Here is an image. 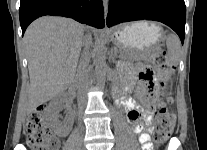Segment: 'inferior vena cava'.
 Segmentation results:
<instances>
[{"mask_svg": "<svg viewBox=\"0 0 207 150\" xmlns=\"http://www.w3.org/2000/svg\"><path fill=\"white\" fill-rule=\"evenodd\" d=\"M91 44V38L87 37L83 40L84 51L80 58V62L78 65L76 77H75V85L78 89V93L80 96V102L83 103L85 101V90L89 87L91 83V77L89 72V48Z\"/></svg>", "mask_w": 207, "mask_h": 150, "instance_id": "inferior-vena-cava-1", "label": "inferior vena cava"}]
</instances>
